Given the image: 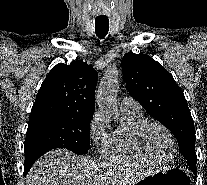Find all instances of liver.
Masks as SVG:
<instances>
[{
	"mask_svg": "<svg viewBox=\"0 0 207 185\" xmlns=\"http://www.w3.org/2000/svg\"><path fill=\"white\" fill-rule=\"evenodd\" d=\"M95 163L66 149H53L34 163L29 185H96Z\"/></svg>",
	"mask_w": 207,
	"mask_h": 185,
	"instance_id": "1",
	"label": "liver"
}]
</instances>
